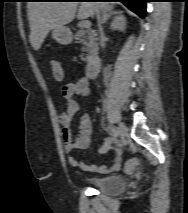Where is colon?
<instances>
[{"label":"colon","instance_id":"5ec220e1","mask_svg":"<svg viewBox=\"0 0 188 213\" xmlns=\"http://www.w3.org/2000/svg\"><path fill=\"white\" fill-rule=\"evenodd\" d=\"M50 68H51V71L54 75L55 78L57 79H63L64 77V72H63V68H62V65L60 64L59 61L57 60H51L50 61ZM138 163V160L137 159H129L127 162H126V171L127 172H130L132 171V169L134 168V166H136Z\"/></svg>","mask_w":188,"mask_h":213}]
</instances>
